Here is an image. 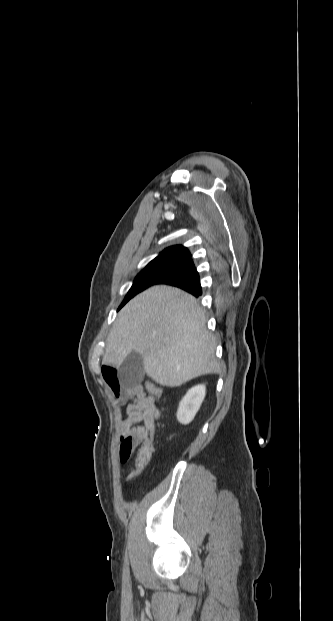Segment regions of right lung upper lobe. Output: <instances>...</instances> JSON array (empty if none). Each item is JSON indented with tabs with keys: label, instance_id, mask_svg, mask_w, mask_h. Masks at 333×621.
Instances as JSON below:
<instances>
[{
	"label": "right lung upper lobe",
	"instance_id": "1",
	"mask_svg": "<svg viewBox=\"0 0 333 621\" xmlns=\"http://www.w3.org/2000/svg\"><path fill=\"white\" fill-rule=\"evenodd\" d=\"M167 258H178V259H189L191 258V254L186 247L181 245L172 246L166 248L162 251L154 260L167 259Z\"/></svg>",
	"mask_w": 333,
	"mask_h": 621
}]
</instances>
